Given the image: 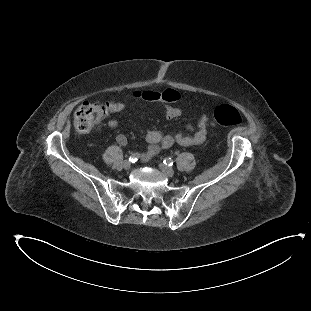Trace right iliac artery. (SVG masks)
Returning a JSON list of instances; mask_svg holds the SVG:
<instances>
[{
  "label": "right iliac artery",
  "instance_id": "82829eb1",
  "mask_svg": "<svg viewBox=\"0 0 311 311\" xmlns=\"http://www.w3.org/2000/svg\"><path fill=\"white\" fill-rule=\"evenodd\" d=\"M140 158V154L139 153H134L129 157V161L134 163L136 162L138 159Z\"/></svg>",
  "mask_w": 311,
  "mask_h": 311
}]
</instances>
